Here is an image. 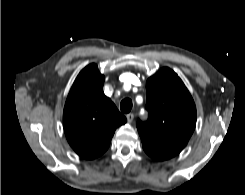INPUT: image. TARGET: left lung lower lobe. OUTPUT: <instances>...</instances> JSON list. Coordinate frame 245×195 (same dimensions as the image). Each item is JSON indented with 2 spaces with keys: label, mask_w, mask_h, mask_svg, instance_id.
Masks as SVG:
<instances>
[{
  "label": "left lung lower lobe",
  "mask_w": 245,
  "mask_h": 195,
  "mask_svg": "<svg viewBox=\"0 0 245 195\" xmlns=\"http://www.w3.org/2000/svg\"><path fill=\"white\" fill-rule=\"evenodd\" d=\"M143 145V149L144 151L150 156L152 157L153 159L157 160V161H163V160H167V159H170L172 157L175 156V154L173 153H168V152H163V151H160L158 149H155L151 146H148L144 143H142Z\"/></svg>",
  "instance_id": "0a47b994"
}]
</instances>
